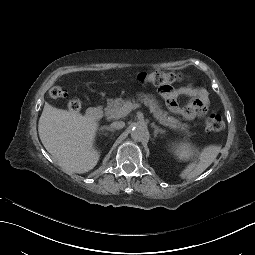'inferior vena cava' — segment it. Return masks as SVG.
<instances>
[{
    "label": "inferior vena cava",
    "mask_w": 255,
    "mask_h": 255,
    "mask_svg": "<svg viewBox=\"0 0 255 255\" xmlns=\"http://www.w3.org/2000/svg\"><path fill=\"white\" fill-rule=\"evenodd\" d=\"M113 129H121L125 126L123 121H115L110 125Z\"/></svg>",
    "instance_id": "obj_1"
}]
</instances>
